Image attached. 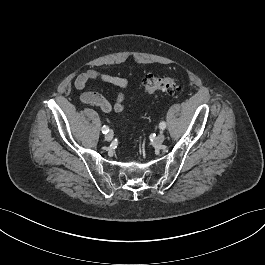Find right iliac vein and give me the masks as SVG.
<instances>
[{"mask_svg":"<svg viewBox=\"0 0 265 265\" xmlns=\"http://www.w3.org/2000/svg\"><path fill=\"white\" fill-rule=\"evenodd\" d=\"M113 132L112 131H109L106 135H105V139L107 141H111L113 139Z\"/></svg>","mask_w":265,"mask_h":265,"instance_id":"63e3f726","label":"right iliac vein"}]
</instances>
